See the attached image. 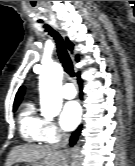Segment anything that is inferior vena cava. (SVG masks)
Wrapping results in <instances>:
<instances>
[{"mask_svg": "<svg viewBox=\"0 0 135 166\" xmlns=\"http://www.w3.org/2000/svg\"><path fill=\"white\" fill-rule=\"evenodd\" d=\"M68 140H69V135L68 134H62L61 137H60V141L59 143L57 144V146L59 148H64L66 147L67 143H68Z\"/></svg>", "mask_w": 135, "mask_h": 166, "instance_id": "obj_1", "label": "inferior vena cava"}]
</instances>
